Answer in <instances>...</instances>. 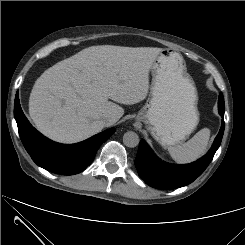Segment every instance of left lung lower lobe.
Wrapping results in <instances>:
<instances>
[{
	"instance_id": "left-lung-lower-lobe-1",
	"label": "left lung lower lobe",
	"mask_w": 245,
	"mask_h": 245,
	"mask_svg": "<svg viewBox=\"0 0 245 245\" xmlns=\"http://www.w3.org/2000/svg\"><path fill=\"white\" fill-rule=\"evenodd\" d=\"M218 111L222 117V125L208 153L198 161L188 165H172L159 160L148 145L142 141L139 144L135 166L142 180L157 189L172 190L192 183L207 168L215 152L220 146L224 123V98L219 94Z\"/></svg>"
}]
</instances>
